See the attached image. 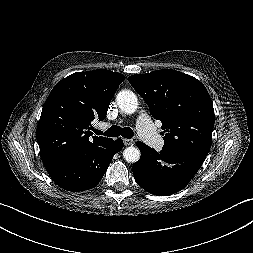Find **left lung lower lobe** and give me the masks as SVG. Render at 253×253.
<instances>
[{"label": "left lung lower lobe", "instance_id": "0a47b994", "mask_svg": "<svg viewBox=\"0 0 253 253\" xmlns=\"http://www.w3.org/2000/svg\"><path fill=\"white\" fill-rule=\"evenodd\" d=\"M141 157L133 164L134 178L144 190L157 196L171 195L183 189L201 167L206 156L189 153L180 158L157 152L137 142Z\"/></svg>", "mask_w": 253, "mask_h": 253}]
</instances>
